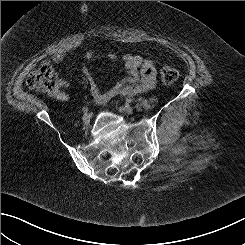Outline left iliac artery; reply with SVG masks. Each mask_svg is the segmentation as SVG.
Wrapping results in <instances>:
<instances>
[{"instance_id": "left-iliac-artery-1", "label": "left iliac artery", "mask_w": 245, "mask_h": 245, "mask_svg": "<svg viewBox=\"0 0 245 245\" xmlns=\"http://www.w3.org/2000/svg\"><path fill=\"white\" fill-rule=\"evenodd\" d=\"M131 103H133V99L127 98V99H126V104L129 105V104H131Z\"/></svg>"}]
</instances>
